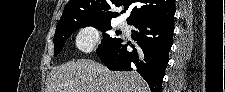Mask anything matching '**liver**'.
<instances>
[{
	"label": "liver",
	"instance_id": "liver-1",
	"mask_svg": "<svg viewBox=\"0 0 225 92\" xmlns=\"http://www.w3.org/2000/svg\"><path fill=\"white\" fill-rule=\"evenodd\" d=\"M46 92H149L142 77L133 71H110L91 59H79L54 67Z\"/></svg>",
	"mask_w": 225,
	"mask_h": 92
}]
</instances>
